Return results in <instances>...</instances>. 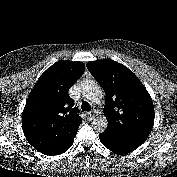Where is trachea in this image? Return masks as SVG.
Segmentation results:
<instances>
[{
	"label": "trachea",
	"mask_w": 177,
	"mask_h": 177,
	"mask_svg": "<svg viewBox=\"0 0 177 177\" xmlns=\"http://www.w3.org/2000/svg\"><path fill=\"white\" fill-rule=\"evenodd\" d=\"M81 108H82L83 111H89L90 110V105H89L88 102L83 101L82 105H81Z\"/></svg>",
	"instance_id": "3493384b"
}]
</instances>
